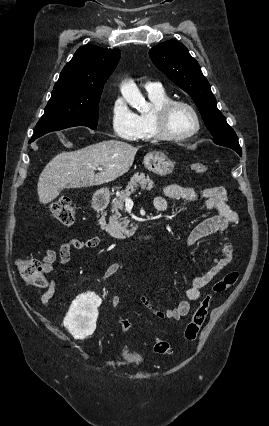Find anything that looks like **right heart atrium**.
<instances>
[{
    "label": "right heart atrium",
    "mask_w": 269,
    "mask_h": 426,
    "mask_svg": "<svg viewBox=\"0 0 269 426\" xmlns=\"http://www.w3.org/2000/svg\"><path fill=\"white\" fill-rule=\"evenodd\" d=\"M112 132L124 140H135L139 136L137 115L122 97H115L110 105Z\"/></svg>",
    "instance_id": "obj_1"
}]
</instances>
